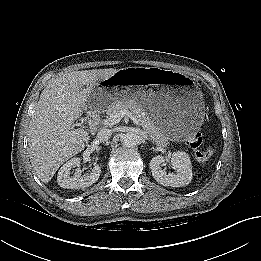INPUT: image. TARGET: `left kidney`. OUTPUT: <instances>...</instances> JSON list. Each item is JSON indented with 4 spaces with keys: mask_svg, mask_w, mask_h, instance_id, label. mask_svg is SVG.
I'll return each mask as SVG.
<instances>
[{
    "mask_svg": "<svg viewBox=\"0 0 261 261\" xmlns=\"http://www.w3.org/2000/svg\"><path fill=\"white\" fill-rule=\"evenodd\" d=\"M165 163V158L161 155L151 159L149 167L153 178L163 186L182 187L188 185L192 179V165L190 157L186 152L178 151L172 154L170 163L176 174L167 173L166 169L162 168Z\"/></svg>",
    "mask_w": 261,
    "mask_h": 261,
    "instance_id": "obj_1",
    "label": "left kidney"
}]
</instances>
